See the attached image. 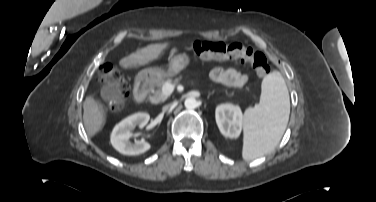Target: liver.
<instances>
[{"instance_id": "6515ba94", "label": "liver", "mask_w": 376, "mask_h": 202, "mask_svg": "<svg viewBox=\"0 0 376 202\" xmlns=\"http://www.w3.org/2000/svg\"><path fill=\"white\" fill-rule=\"evenodd\" d=\"M167 46L168 43L150 44L122 58L119 61V65L122 68L129 69L148 64L157 59ZM83 110V121L86 132L89 136H93L102 129L105 123L104 113L99 103L90 96L86 97L83 103Z\"/></svg>"}]
</instances>
